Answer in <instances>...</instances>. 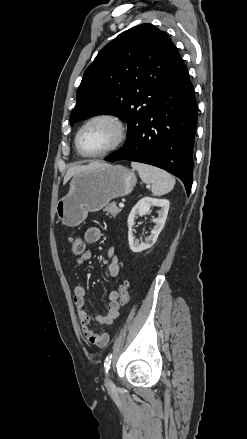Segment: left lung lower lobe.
<instances>
[{"label": "left lung lower lobe", "instance_id": "1", "mask_svg": "<svg viewBox=\"0 0 247 439\" xmlns=\"http://www.w3.org/2000/svg\"><path fill=\"white\" fill-rule=\"evenodd\" d=\"M197 103L187 68L157 97L151 114L106 161L130 160L162 168L192 187Z\"/></svg>", "mask_w": 247, "mask_h": 439}]
</instances>
